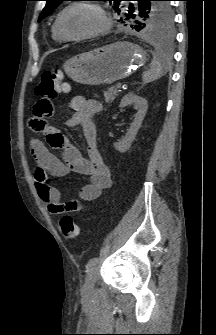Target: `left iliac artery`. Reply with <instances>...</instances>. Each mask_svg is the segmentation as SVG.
Returning a JSON list of instances; mask_svg holds the SVG:
<instances>
[{"label":"left iliac artery","instance_id":"44dca946","mask_svg":"<svg viewBox=\"0 0 216 335\" xmlns=\"http://www.w3.org/2000/svg\"><path fill=\"white\" fill-rule=\"evenodd\" d=\"M97 262H98V258L97 257L91 258L88 261V263L86 265V272H87V274H89L92 271V269L97 264Z\"/></svg>","mask_w":216,"mask_h":335}]
</instances>
